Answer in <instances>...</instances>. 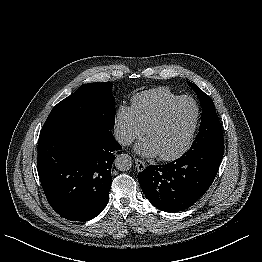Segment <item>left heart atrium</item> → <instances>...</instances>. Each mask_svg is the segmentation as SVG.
<instances>
[{"label": "left heart atrium", "instance_id": "39dd6f15", "mask_svg": "<svg viewBox=\"0 0 262 262\" xmlns=\"http://www.w3.org/2000/svg\"><path fill=\"white\" fill-rule=\"evenodd\" d=\"M135 151L144 157H156L159 155L158 148L150 137L137 143Z\"/></svg>", "mask_w": 262, "mask_h": 262}]
</instances>
